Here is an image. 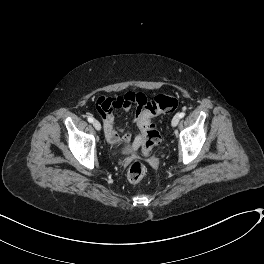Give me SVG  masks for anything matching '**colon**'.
Masks as SVG:
<instances>
[{
	"label": "colon",
	"instance_id": "colon-1",
	"mask_svg": "<svg viewBox=\"0 0 264 264\" xmlns=\"http://www.w3.org/2000/svg\"><path fill=\"white\" fill-rule=\"evenodd\" d=\"M178 106L177 98L159 95L144 105V114L139 127L142 129V152L150 155L152 149L160 143V134L155 128L153 119L162 113L174 111ZM146 174V167L142 162H133L127 173L132 183L139 182Z\"/></svg>",
	"mask_w": 264,
	"mask_h": 264
}]
</instances>
